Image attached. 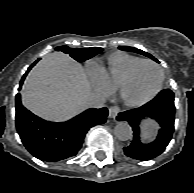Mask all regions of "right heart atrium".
<instances>
[{"instance_id":"d8ad5b80","label":"right heart atrium","mask_w":194,"mask_h":193,"mask_svg":"<svg viewBox=\"0 0 194 193\" xmlns=\"http://www.w3.org/2000/svg\"><path fill=\"white\" fill-rule=\"evenodd\" d=\"M85 71L90 85L96 93L108 94L111 91V87L103 79L97 65L94 62H88L86 64Z\"/></svg>"}]
</instances>
